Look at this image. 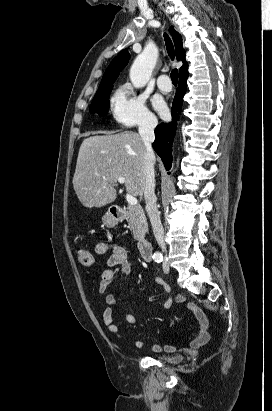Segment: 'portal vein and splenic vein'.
Segmentation results:
<instances>
[{
    "label": "portal vein and splenic vein",
    "mask_w": 272,
    "mask_h": 411,
    "mask_svg": "<svg viewBox=\"0 0 272 411\" xmlns=\"http://www.w3.org/2000/svg\"><path fill=\"white\" fill-rule=\"evenodd\" d=\"M104 179H105V177H104ZM117 181L121 184H124L126 182L125 178L122 177V176H119L117 178ZM126 200H127L128 204L131 205V206H136L138 204L137 198L135 196L129 194V193L126 194Z\"/></svg>",
    "instance_id": "18ae733b"
}]
</instances>
